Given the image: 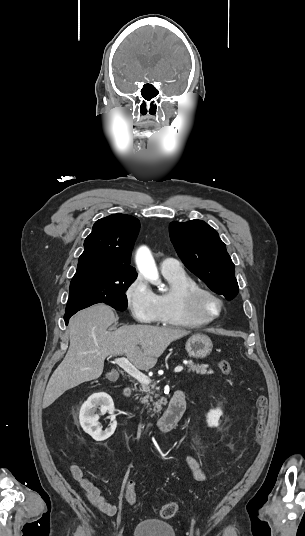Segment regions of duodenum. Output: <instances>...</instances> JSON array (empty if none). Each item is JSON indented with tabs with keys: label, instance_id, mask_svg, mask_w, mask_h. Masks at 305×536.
<instances>
[{
	"label": "duodenum",
	"instance_id": "obj_1",
	"mask_svg": "<svg viewBox=\"0 0 305 536\" xmlns=\"http://www.w3.org/2000/svg\"><path fill=\"white\" fill-rule=\"evenodd\" d=\"M131 393L130 388H125L124 395L129 396ZM186 405L185 393L183 391H176L170 399L169 407L163 417L155 424L147 425L145 428L149 432L154 433H168L179 422L180 418L184 414Z\"/></svg>",
	"mask_w": 305,
	"mask_h": 536
}]
</instances>
